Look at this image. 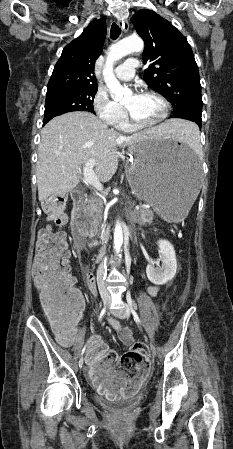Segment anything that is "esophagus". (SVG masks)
Wrapping results in <instances>:
<instances>
[{
    "label": "esophagus",
    "mask_w": 233,
    "mask_h": 449,
    "mask_svg": "<svg viewBox=\"0 0 233 449\" xmlns=\"http://www.w3.org/2000/svg\"><path fill=\"white\" fill-rule=\"evenodd\" d=\"M117 24L123 31H125V32L128 31L129 23H128V21L126 19H118L117 20Z\"/></svg>",
    "instance_id": "esophagus-1"
}]
</instances>
